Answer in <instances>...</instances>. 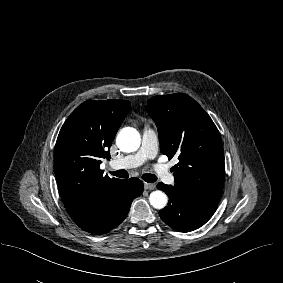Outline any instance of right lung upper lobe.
<instances>
[{"instance_id": "right-lung-upper-lobe-1", "label": "right lung upper lobe", "mask_w": 283, "mask_h": 283, "mask_svg": "<svg viewBox=\"0 0 283 283\" xmlns=\"http://www.w3.org/2000/svg\"><path fill=\"white\" fill-rule=\"evenodd\" d=\"M130 109L127 100H87L63 124L54 161L62 201L75 223L95 210L123 181L104 175L101 159Z\"/></svg>"}]
</instances>
